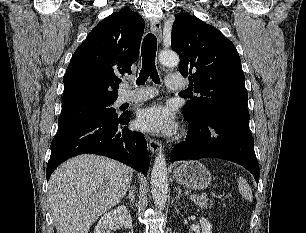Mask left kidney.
I'll return each instance as SVG.
<instances>
[{
  "label": "left kidney",
  "instance_id": "5707ae66",
  "mask_svg": "<svg viewBox=\"0 0 306 233\" xmlns=\"http://www.w3.org/2000/svg\"><path fill=\"white\" fill-rule=\"evenodd\" d=\"M202 233H212V224L205 218L200 219Z\"/></svg>",
  "mask_w": 306,
  "mask_h": 233
}]
</instances>
